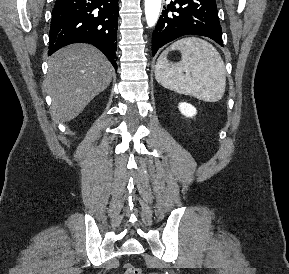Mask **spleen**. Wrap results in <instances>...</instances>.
<instances>
[{"mask_svg": "<svg viewBox=\"0 0 289 274\" xmlns=\"http://www.w3.org/2000/svg\"><path fill=\"white\" fill-rule=\"evenodd\" d=\"M179 50L181 61L170 63L167 55ZM155 78L163 87L205 102L222 99L226 70L218 51L207 41L186 37L175 41L158 58Z\"/></svg>", "mask_w": 289, "mask_h": 274, "instance_id": "3e777b00", "label": "spleen"}]
</instances>
